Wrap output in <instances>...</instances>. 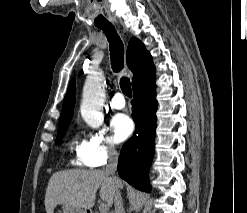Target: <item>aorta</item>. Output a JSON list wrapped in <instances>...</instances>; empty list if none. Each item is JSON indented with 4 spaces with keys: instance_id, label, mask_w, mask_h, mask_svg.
I'll return each instance as SVG.
<instances>
[{
    "instance_id": "obj_1",
    "label": "aorta",
    "mask_w": 247,
    "mask_h": 213,
    "mask_svg": "<svg viewBox=\"0 0 247 213\" xmlns=\"http://www.w3.org/2000/svg\"><path fill=\"white\" fill-rule=\"evenodd\" d=\"M82 96L80 110L84 121L90 127H99L104 120L102 110L105 100L104 76L101 72L87 76Z\"/></svg>"
}]
</instances>
